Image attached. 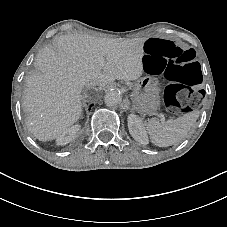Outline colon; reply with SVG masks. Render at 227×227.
Wrapping results in <instances>:
<instances>
[{
	"mask_svg": "<svg viewBox=\"0 0 227 227\" xmlns=\"http://www.w3.org/2000/svg\"><path fill=\"white\" fill-rule=\"evenodd\" d=\"M144 63L151 74L168 81L164 102L173 113H183L199 105L200 93L193 86L202 81V71L195 52L174 42L152 38L144 45Z\"/></svg>",
	"mask_w": 227,
	"mask_h": 227,
	"instance_id": "1",
	"label": "colon"
}]
</instances>
